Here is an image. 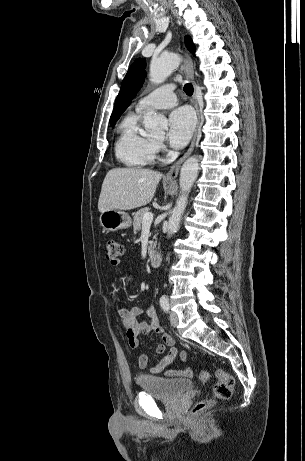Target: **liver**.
Here are the masks:
<instances>
[{"instance_id":"6515ba94","label":"liver","mask_w":305,"mask_h":461,"mask_svg":"<svg viewBox=\"0 0 305 461\" xmlns=\"http://www.w3.org/2000/svg\"><path fill=\"white\" fill-rule=\"evenodd\" d=\"M162 174L149 169L114 168L106 174L98 210H131L148 204Z\"/></svg>"}]
</instances>
